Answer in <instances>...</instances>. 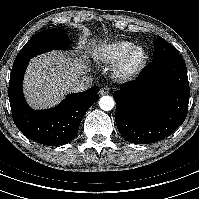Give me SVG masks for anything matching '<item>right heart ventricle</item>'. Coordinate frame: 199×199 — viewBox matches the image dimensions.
Segmentation results:
<instances>
[{
    "label": "right heart ventricle",
    "mask_w": 199,
    "mask_h": 199,
    "mask_svg": "<svg viewBox=\"0 0 199 199\" xmlns=\"http://www.w3.org/2000/svg\"><path fill=\"white\" fill-rule=\"evenodd\" d=\"M132 46L134 43L130 40L119 39L99 45L93 52V59L96 63L102 65H115L122 55Z\"/></svg>",
    "instance_id": "1"
}]
</instances>
